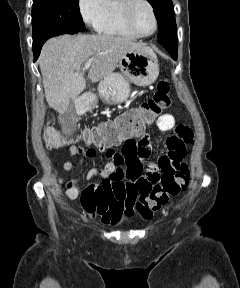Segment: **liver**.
Segmentation results:
<instances>
[{
    "mask_svg": "<svg viewBox=\"0 0 240 288\" xmlns=\"http://www.w3.org/2000/svg\"><path fill=\"white\" fill-rule=\"evenodd\" d=\"M131 50L155 54L143 43L119 36L79 34L49 39L38 60L47 103L64 114L86 87L81 73L85 62L92 60L88 76L95 83L113 73L122 55Z\"/></svg>",
    "mask_w": 240,
    "mask_h": 288,
    "instance_id": "liver-1",
    "label": "liver"
}]
</instances>
